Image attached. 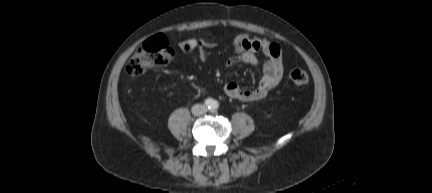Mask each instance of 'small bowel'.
<instances>
[{
  "label": "small bowel",
  "mask_w": 432,
  "mask_h": 193,
  "mask_svg": "<svg viewBox=\"0 0 432 193\" xmlns=\"http://www.w3.org/2000/svg\"><path fill=\"white\" fill-rule=\"evenodd\" d=\"M214 45V42L204 38H191L180 42L179 48L185 54L199 52L201 57L205 58L202 48ZM234 45L238 56L227 62L228 67L236 62L257 65L259 60L256 54L261 53L264 57L263 73L257 87L253 89H244L233 81H226L224 92L231 98L245 102L259 101L265 98L269 90L278 85L283 78L284 67L281 46L266 39L250 38L247 34L238 35L235 38Z\"/></svg>",
  "instance_id": "c3829d8e"
}]
</instances>
